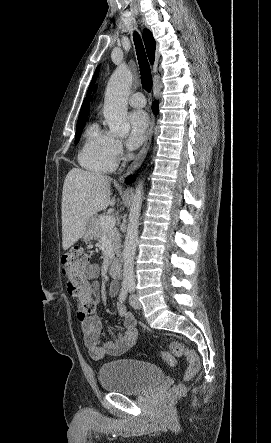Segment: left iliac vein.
<instances>
[{"label":"left iliac vein","mask_w":271,"mask_h":443,"mask_svg":"<svg viewBox=\"0 0 271 443\" xmlns=\"http://www.w3.org/2000/svg\"><path fill=\"white\" fill-rule=\"evenodd\" d=\"M129 303L132 306V308L139 310L141 308V303L138 300V297L135 294H131L129 297Z\"/></svg>","instance_id":"4c4485c4"}]
</instances>
